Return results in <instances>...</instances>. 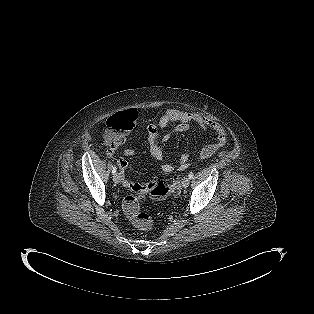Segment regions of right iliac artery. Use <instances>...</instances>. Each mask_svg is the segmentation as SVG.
Instances as JSON below:
<instances>
[{"instance_id": "1", "label": "right iliac artery", "mask_w": 314, "mask_h": 314, "mask_svg": "<svg viewBox=\"0 0 314 314\" xmlns=\"http://www.w3.org/2000/svg\"><path fill=\"white\" fill-rule=\"evenodd\" d=\"M116 171H117V167L114 165V166H113V169H112V173L115 174Z\"/></svg>"}]
</instances>
